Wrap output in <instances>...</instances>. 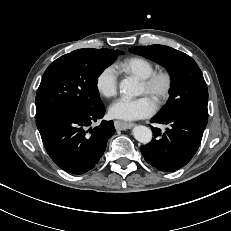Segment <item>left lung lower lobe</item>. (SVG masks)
I'll use <instances>...</instances> for the list:
<instances>
[{"mask_svg":"<svg viewBox=\"0 0 231 231\" xmlns=\"http://www.w3.org/2000/svg\"><path fill=\"white\" fill-rule=\"evenodd\" d=\"M152 123L169 124L165 133L151 127L154 139L140 147L147 163L164 172L185 166L194 156L201 143L208 118L179 112L165 116L156 115Z\"/></svg>","mask_w":231,"mask_h":231,"instance_id":"1","label":"left lung lower lobe"}]
</instances>
